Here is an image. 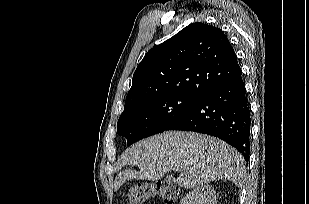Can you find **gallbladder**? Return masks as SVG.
<instances>
[{"instance_id":"gallbladder-1","label":"gallbladder","mask_w":309,"mask_h":204,"mask_svg":"<svg viewBox=\"0 0 309 204\" xmlns=\"http://www.w3.org/2000/svg\"><path fill=\"white\" fill-rule=\"evenodd\" d=\"M167 180L168 181H173V178L172 177H168Z\"/></svg>"}]
</instances>
